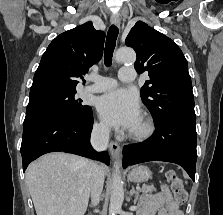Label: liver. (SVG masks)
Masks as SVG:
<instances>
[{
	"mask_svg": "<svg viewBox=\"0 0 223 215\" xmlns=\"http://www.w3.org/2000/svg\"><path fill=\"white\" fill-rule=\"evenodd\" d=\"M25 181L37 215H84L90 191L85 157L61 151L46 153L28 165Z\"/></svg>",
	"mask_w": 223,
	"mask_h": 215,
	"instance_id": "6515ba94",
	"label": "liver"
}]
</instances>
